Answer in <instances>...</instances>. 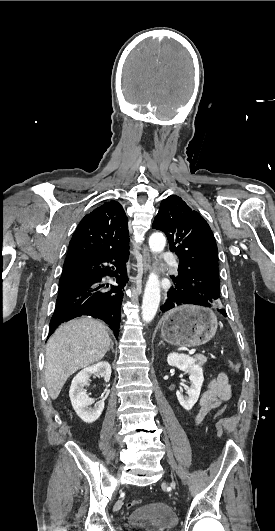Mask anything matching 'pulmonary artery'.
<instances>
[{
	"label": "pulmonary artery",
	"instance_id": "pulmonary-artery-1",
	"mask_svg": "<svg viewBox=\"0 0 275 531\" xmlns=\"http://www.w3.org/2000/svg\"><path fill=\"white\" fill-rule=\"evenodd\" d=\"M161 256L165 258L166 263L168 264L169 268L172 270H175L178 268L179 263L176 260L175 256L173 255L172 251L165 250L163 253H161Z\"/></svg>",
	"mask_w": 275,
	"mask_h": 531
}]
</instances>
